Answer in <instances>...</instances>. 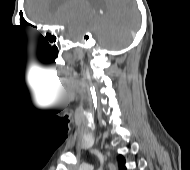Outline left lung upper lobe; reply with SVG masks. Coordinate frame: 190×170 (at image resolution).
<instances>
[{
  "label": "left lung upper lobe",
  "instance_id": "1",
  "mask_svg": "<svg viewBox=\"0 0 190 170\" xmlns=\"http://www.w3.org/2000/svg\"><path fill=\"white\" fill-rule=\"evenodd\" d=\"M118 160H119L120 169H121V170H126L124 157L121 156V155H119Z\"/></svg>",
  "mask_w": 190,
  "mask_h": 170
}]
</instances>
